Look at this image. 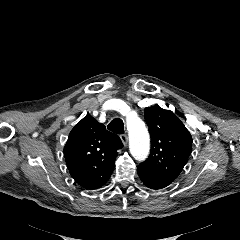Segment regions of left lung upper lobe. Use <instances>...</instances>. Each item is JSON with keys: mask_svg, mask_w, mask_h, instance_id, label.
I'll use <instances>...</instances> for the list:
<instances>
[{"mask_svg": "<svg viewBox=\"0 0 240 240\" xmlns=\"http://www.w3.org/2000/svg\"><path fill=\"white\" fill-rule=\"evenodd\" d=\"M145 120L151 136V152L143 164L174 181L191 153L192 137L173 112L158 105L145 108Z\"/></svg>", "mask_w": 240, "mask_h": 240, "instance_id": "1", "label": "left lung upper lobe"}]
</instances>
